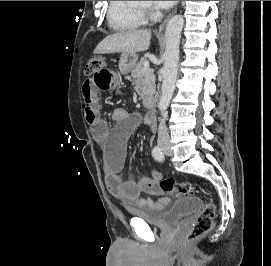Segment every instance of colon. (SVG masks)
I'll list each match as a JSON object with an SVG mask.
<instances>
[{
	"instance_id": "1",
	"label": "colon",
	"mask_w": 271,
	"mask_h": 266,
	"mask_svg": "<svg viewBox=\"0 0 271 266\" xmlns=\"http://www.w3.org/2000/svg\"><path fill=\"white\" fill-rule=\"evenodd\" d=\"M107 64L108 60L105 57L95 56L88 63L87 72L91 74L94 70ZM158 186L161 191L174 196H185L196 192L194 184L190 182L178 183L171 178L160 180ZM215 211L216 207L213 202L206 203L194 224L186 231L185 240L193 241L208 233L213 226Z\"/></svg>"
}]
</instances>
